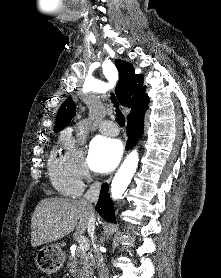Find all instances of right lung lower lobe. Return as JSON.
<instances>
[{
  "mask_svg": "<svg viewBox=\"0 0 221 278\" xmlns=\"http://www.w3.org/2000/svg\"><path fill=\"white\" fill-rule=\"evenodd\" d=\"M144 129V118H134L127 121L128 141L126 150L131 149L141 138ZM97 212L108 222H115L113 202L108 194V184L104 183L101 187L98 203L95 207Z\"/></svg>",
  "mask_w": 221,
  "mask_h": 278,
  "instance_id": "1",
  "label": "right lung lower lobe"
}]
</instances>
